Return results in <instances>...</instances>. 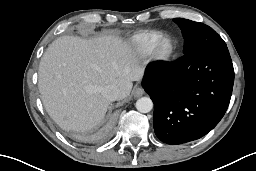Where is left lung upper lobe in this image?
<instances>
[{
	"label": "left lung upper lobe",
	"mask_w": 256,
	"mask_h": 171,
	"mask_svg": "<svg viewBox=\"0 0 256 171\" xmlns=\"http://www.w3.org/2000/svg\"><path fill=\"white\" fill-rule=\"evenodd\" d=\"M184 37V54L189 51L211 45H225L223 39L209 26L187 19L175 18Z\"/></svg>",
	"instance_id": "5c2ea615"
}]
</instances>
